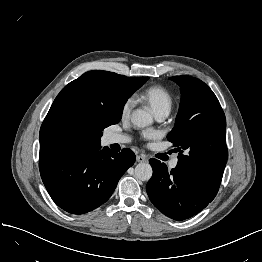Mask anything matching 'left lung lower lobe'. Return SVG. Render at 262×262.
I'll use <instances>...</instances> for the list:
<instances>
[{
	"mask_svg": "<svg viewBox=\"0 0 262 262\" xmlns=\"http://www.w3.org/2000/svg\"><path fill=\"white\" fill-rule=\"evenodd\" d=\"M153 175L146 191L152 204L164 215L174 220H186L201 212L212 200L177 168L170 172L159 160H149Z\"/></svg>",
	"mask_w": 262,
	"mask_h": 262,
	"instance_id": "1",
	"label": "left lung lower lobe"
}]
</instances>
